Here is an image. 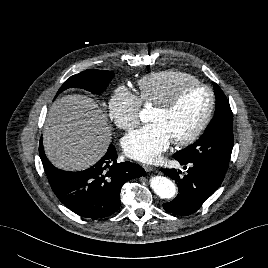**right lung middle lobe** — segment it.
<instances>
[{
	"instance_id": "obj_1",
	"label": "right lung middle lobe",
	"mask_w": 268,
	"mask_h": 268,
	"mask_svg": "<svg viewBox=\"0 0 268 268\" xmlns=\"http://www.w3.org/2000/svg\"><path fill=\"white\" fill-rule=\"evenodd\" d=\"M113 76L112 71L86 70L67 79L58 90L56 96L70 87L82 88L93 94H100L107 88Z\"/></svg>"
}]
</instances>
